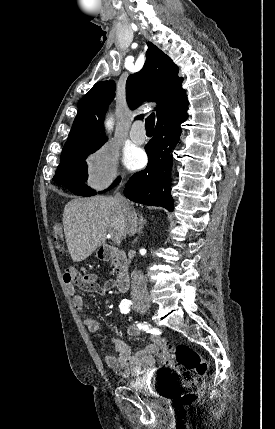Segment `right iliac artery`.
<instances>
[{
  "label": "right iliac artery",
  "mask_w": 275,
  "mask_h": 429,
  "mask_svg": "<svg viewBox=\"0 0 275 429\" xmlns=\"http://www.w3.org/2000/svg\"><path fill=\"white\" fill-rule=\"evenodd\" d=\"M119 307H120V311H121V313H123V314H128V313H129V311H130V305H129V303H127V302H123V303H121V304L119 305ZM137 327L141 328L139 324L137 325Z\"/></svg>",
  "instance_id": "right-iliac-artery-1"
}]
</instances>
